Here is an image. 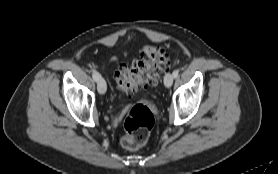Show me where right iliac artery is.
<instances>
[{
  "instance_id": "82829eb1",
  "label": "right iliac artery",
  "mask_w": 278,
  "mask_h": 174,
  "mask_svg": "<svg viewBox=\"0 0 278 174\" xmlns=\"http://www.w3.org/2000/svg\"><path fill=\"white\" fill-rule=\"evenodd\" d=\"M92 77L97 82L100 78V74L97 71H93Z\"/></svg>"
}]
</instances>
